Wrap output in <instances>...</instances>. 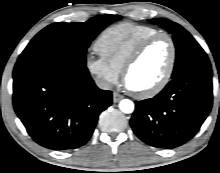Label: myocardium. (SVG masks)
I'll return each mask as SVG.
<instances>
[{"instance_id":"obj_1","label":"myocardium","mask_w":220,"mask_h":173,"mask_svg":"<svg viewBox=\"0 0 220 173\" xmlns=\"http://www.w3.org/2000/svg\"><path fill=\"white\" fill-rule=\"evenodd\" d=\"M165 38L168 40L171 48V55H170V61L167 67V70L163 77L159 80L157 84L152 86L151 88L144 90V91H135L133 89H130L126 84V78L128 76V73L132 69V67L137 63V61L141 58L145 50L154 42H156L159 39ZM177 61V48L176 44L174 42V39L167 33H157L155 35H152L148 37L147 39L143 40L131 53V55L126 60L123 69H122V80L123 83L126 85L130 93L139 99H148L156 96L159 94L170 82L172 75L175 70Z\"/></svg>"}]
</instances>
